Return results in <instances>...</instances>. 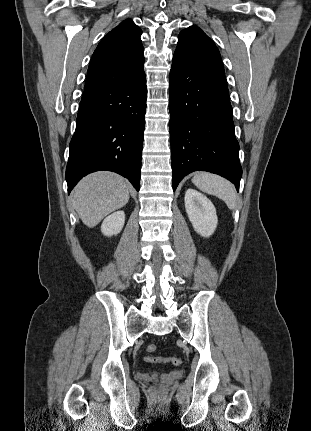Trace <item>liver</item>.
I'll return each instance as SVG.
<instances>
[{
	"label": "liver",
	"instance_id": "obj_1",
	"mask_svg": "<svg viewBox=\"0 0 311 431\" xmlns=\"http://www.w3.org/2000/svg\"><path fill=\"white\" fill-rule=\"evenodd\" d=\"M129 184L113 172H95L83 178L73 194V208L83 223L95 227L103 217L126 206Z\"/></svg>",
	"mask_w": 311,
	"mask_h": 431
}]
</instances>
